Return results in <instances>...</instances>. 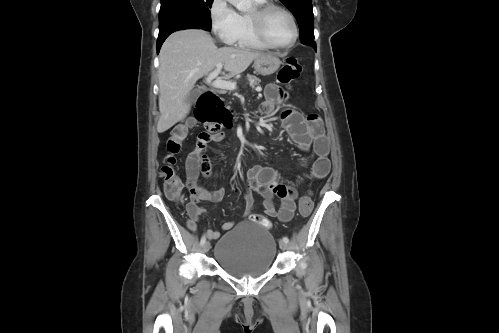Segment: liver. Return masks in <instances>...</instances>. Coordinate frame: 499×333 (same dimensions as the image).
I'll use <instances>...</instances> for the list:
<instances>
[{
	"label": "liver",
	"mask_w": 499,
	"mask_h": 333,
	"mask_svg": "<svg viewBox=\"0 0 499 333\" xmlns=\"http://www.w3.org/2000/svg\"><path fill=\"white\" fill-rule=\"evenodd\" d=\"M261 52L235 47L218 48L204 30L187 29L172 33L159 56V111L157 131L163 133L183 120L190 111L187 97L200 78L211 73L218 63L229 72L228 78L245 71Z\"/></svg>",
	"instance_id": "1"
}]
</instances>
